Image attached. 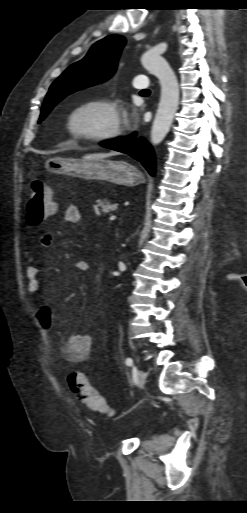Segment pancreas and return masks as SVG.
<instances>
[{
  "label": "pancreas",
  "instance_id": "obj_1",
  "mask_svg": "<svg viewBox=\"0 0 247 513\" xmlns=\"http://www.w3.org/2000/svg\"><path fill=\"white\" fill-rule=\"evenodd\" d=\"M94 209L97 216H106V214H109L110 212H113L117 209V204H112L107 200L100 201L97 205L94 206Z\"/></svg>",
  "mask_w": 247,
  "mask_h": 513
}]
</instances>
